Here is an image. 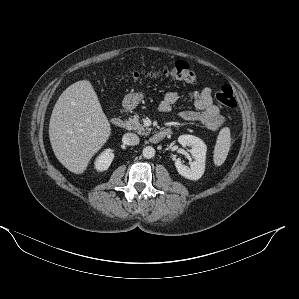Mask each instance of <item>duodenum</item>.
<instances>
[{
  "label": "duodenum",
  "mask_w": 299,
  "mask_h": 299,
  "mask_svg": "<svg viewBox=\"0 0 299 299\" xmlns=\"http://www.w3.org/2000/svg\"><path fill=\"white\" fill-rule=\"evenodd\" d=\"M111 123L114 127H117V128H122L124 126V121L119 117H114L111 120ZM171 134H172L171 129L159 130L151 136V141L153 143H158V142L164 140L165 138L169 137Z\"/></svg>",
  "instance_id": "obj_1"
}]
</instances>
